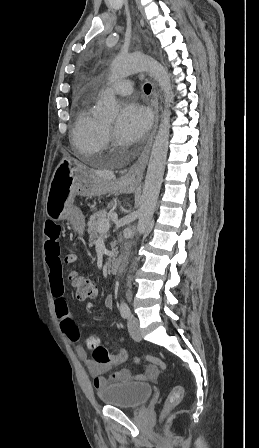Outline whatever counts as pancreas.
Returning a JSON list of instances; mask_svg holds the SVG:
<instances>
[{"mask_svg":"<svg viewBox=\"0 0 259 448\" xmlns=\"http://www.w3.org/2000/svg\"><path fill=\"white\" fill-rule=\"evenodd\" d=\"M107 212L106 210H99V212H95V214H92L90 216L88 222V234H89V242H95L96 238H108L109 234L107 232H99L98 230V224L102 218H106ZM111 250L113 252V258H116L118 254V248H116V242H112L111 244ZM108 262H111V260H108Z\"/></svg>","mask_w":259,"mask_h":448,"instance_id":"cf45deb5","label":"pancreas"}]
</instances>
